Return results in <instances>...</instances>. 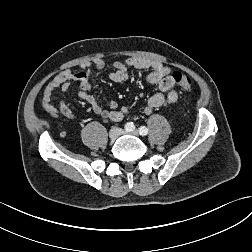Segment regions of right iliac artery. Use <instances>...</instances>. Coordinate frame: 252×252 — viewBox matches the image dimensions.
<instances>
[{
    "instance_id": "right-iliac-artery-1",
    "label": "right iliac artery",
    "mask_w": 252,
    "mask_h": 252,
    "mask_svg": "<svg viewBox=\"0 0 252 252\" xmlns=\"http://www.w3.org/2000/svg\"><path fill=\"white\" fill-rule=\"evenodd\" d=\"M124 128H125L126 131H129V132H130V131H133V130L135 129V126H134V124H133L132 122H131V123L129 122V123H127V124L125 125Z\"/></svg>"
}]
</instances>
